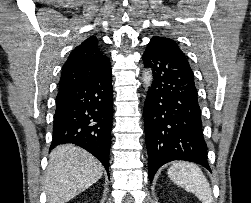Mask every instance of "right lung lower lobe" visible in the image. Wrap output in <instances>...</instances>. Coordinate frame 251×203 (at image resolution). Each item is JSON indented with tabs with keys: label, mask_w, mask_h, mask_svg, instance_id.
I'll use <instances>...</instances> for the list:
<instances>
[{
	"label": "right lung lower lobe",
	"mask_w": 251,
	"mask_h": 203,
	"mask_svg": "<svg viewBox=\"0 0 251 203\" xmlns=\"http://www.w3.org/2000/svg\"><path fill=\"white\" fill-rule=\"evenodd\" d=\"M112 116L109 64L100 73L57 95L50 150L61 144H76L94 155L109 175Z\"/></svg>",
	"instance_id": "1"
}]
</instances>
